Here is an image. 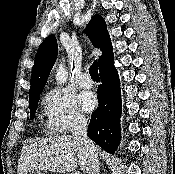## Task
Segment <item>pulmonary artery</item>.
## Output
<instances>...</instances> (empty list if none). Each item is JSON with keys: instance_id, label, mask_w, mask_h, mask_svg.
<instances>
[{"instance_id": "1", "label": "pulmonary artery", "mask_w": 175, "mask_h": 174, "mask_svg": "<svg viewBox=\"0 0 175 174\" xmlns=\"http://www.w3.org/2000/svg\"><path fill=\"white\" fill-rule=\"evenodd\" d=\"M78 83L82 88H91L93 82L88 73H82L78 79Z\"/></svg>"}]
</instances>
